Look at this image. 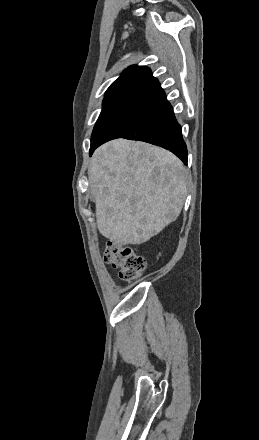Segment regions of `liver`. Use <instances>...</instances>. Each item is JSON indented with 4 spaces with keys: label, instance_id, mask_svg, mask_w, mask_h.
<instances>
[{
    "label": "liver",
    "instance_id": "liver-1",
    "mask_svg": "<svg viewBox=\"0 0 259 440\" xmlns=\"http://www.w3.org/2000/svg\"><path fill=\"white\" fill-rule=\"evenodd\" d=\"M101 235L140 245L174 222L185 202L187 171L170 151L116 139L99 147L88 170Z\"/></svg>",
    "mask_w": 259,
    "mask_h": 440
}]
</instances>
